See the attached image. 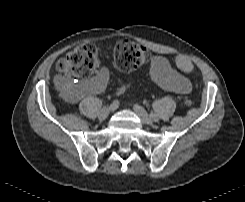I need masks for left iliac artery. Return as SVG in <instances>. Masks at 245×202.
Here are the masks:
<instances>
[{
	"label": "left iliac artery",
	"mask_w": 245,
	"mask_h": 202,
	"mask_svg": "<svg viewBox=\"0 0 245 202\" xmlns=\"http://www.w3.org/2000/svg\"><path fill=\"white\" fill-rule=\"evenodd\" d=\"M151 117H152V118H155V115H154V114H151Z\"/></svg>",
	"instance_id": "obj_1"
}]
</instances>
